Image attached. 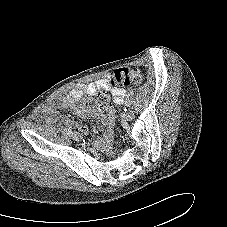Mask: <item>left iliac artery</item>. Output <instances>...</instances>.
<instances>
[{
	"label": "left iliac artery",
	"instance_id": "left-iliac-artery-1",
	"mask_svg": "<svg viewBox=\"0 0 227 227\" xmlns=\"http://www.w3.org/2000/svg\"><path fill=\"white\" fill-rule=\"evenodd\" d=\"M124 104H125V106H127V107H130V105H131L130 101H127V100L125 101Z\"/></svg>",
	"mask_w": 227,
	"mask_h": 227
}]
</instances>
